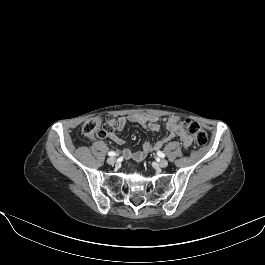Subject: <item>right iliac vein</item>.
I'll use <instances>...</instances> for the list:
<instances>
[{"instance_id":"right-iliac-vein-1","label":"right iliac vein","mask_w":265,"mask_h":265,"mask_svg":"<svg viewBox=\"0 0 265 265\" xmlns=\"http://www.w3.org/2000/svg\"><path fill=\"white\" fill-rule=\"evenodd\" d=\"M108 164L113 165L116 163V159L114 157H109L107 159Z\"/></svg>"}]
</instances>
